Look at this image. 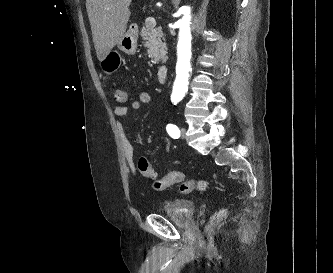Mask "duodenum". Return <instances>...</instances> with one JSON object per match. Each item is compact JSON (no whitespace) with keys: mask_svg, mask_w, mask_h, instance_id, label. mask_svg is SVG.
Segmentation results:
<instances>
[{"mask_svg":"<svg viewBox=\"0 0 333 273\" xmlns=\"http://www.w3.org/2000/svg\"><path fill=\"white\" fill-rule=\"evenodd\" d=\"M168 77V69L165 65L161 66L158 72V83L160 85H165Z\"/></svg>","mask_w":333,"mask_h":273,"instance_id":"obj_1","label":"duodenum"}]
</instances>
